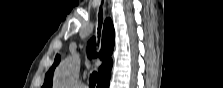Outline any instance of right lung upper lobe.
<instances>
[{
  "label": "right lung upper lobe",
  "mask_w": 223,
  "mask_h": 88,
  "mask_svg": "<svg viewBox=\"0 0 223 88\" xmlns=\"http://www.w3.org/2000/svg\"><path fill=\"white\" fill-rule=\"evenodd\" d=\"M114 35L115 32L113 23L110 19H107L104 23L102 46L99 54L100 59L103 61V64L99 68L98 82L110 78V71L112 68V60L110 59V55L114 48ZM87 53L89 58L96 57L95 38H92L88 42ZM59 61H60V56L56 55L54 64L52 65V67L45 76V82L42 88H52L53 72L55 70V67L58 65Z\"/></svg>",
  "instance_id": "obj_1"
}]
</instances>
